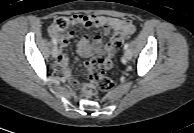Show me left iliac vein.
<instances>
[{
	"label": "left iliac vein",
	"instance_id": "1",
	"mask_svg": "<svg viewBox=\"0 0 194 133\" xmlns=\"http://www.w3.org/2000/svg\"><path fill=\"white\" fill-rule=\"evenodd\" d=\"M124 58H125V60H130L132 58V54H131V51L129 49L125 50Z\"/></svg>",
	"mask_w": 194,
	"mask_h": 133
}]
</instances>
